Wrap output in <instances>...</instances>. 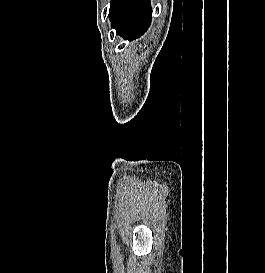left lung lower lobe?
Here are the masks:
<instances>
[{
	"mask_svg": "<svg viewBox=\"0 0 265 273\" xmlns=\"http://www.w3.org/2000/svg\"><path fill=\"white\" fill-rule=\"evenodd\" d=\"M109 18L116 34L132 41L143 35L150 26V0H112Z\"/></svg>",
	"mask_w": 265,
	"mask_h": 273,
	"instance_id": "obj_1",
	"label": "left lung lower lobe"
}]
</instances>
